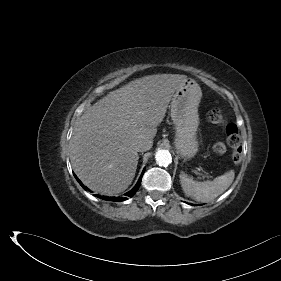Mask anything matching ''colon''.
<instances>
[{"label":"colon","instance_id":"obj_1","mask_svg":"<svg viewBox=\"0 0 281 281\" xmlns=\"http://www.w3.org/2000/svg\"><path fill=\"white\" fill-rule=\"evenodd\" d=\"M207 118L212 124L225 126L226 144L233 150V161L236 164L239 163L241 159V138L237 126L233 123H228L225 115L218 108L210 110ZM212 150L214 154L221 155L226 151V145L221 142L216 143Z\"/></svg>","mask_w":281,"mask_h":281}]
</instances>
